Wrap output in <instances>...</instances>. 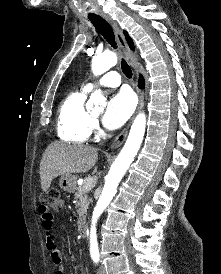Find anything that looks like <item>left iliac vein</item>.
Returning <instances> with one entry per match:
<instances>
[{
	"instance_id": "1",
	"label": "left iliac vein",
	"mask_w": 221,
	"mask_h": 274,
	"mask_svg": "<svg viewBox=\"0 0 221 274\" xmlns=\"http://www.w3.org/2000/svg\"><path fill=\"white\" fill-rule=\"evenodd\" d=\"M98 274H106V271H105V268L104 266H100L99 269H98Z\"/></svg>"
}]
</instances>
